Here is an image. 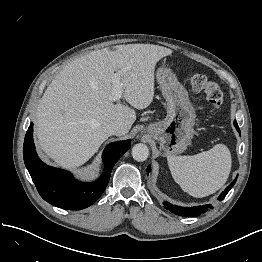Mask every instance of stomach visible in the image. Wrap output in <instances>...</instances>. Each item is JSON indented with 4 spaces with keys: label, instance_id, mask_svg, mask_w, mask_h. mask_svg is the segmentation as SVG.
Here are the masks:
<instances>
[{
    "label": "stomach",
    "instance_id": "1",
    "mask_svg": "<svg viewBox=\"0 0 262 262\" xmlns=\"http://www.w3.org/2000/svg\"><path fill=\"white\" fill-rule=\"evenodd\" d=\"M156 79L167 102V116L163 121L150 124L146 131L157 140L166 156L185 151L194 134L195 111L185 87L166 67H160Z\"/></svg>",
    "mask_w": 262,
    "mask_h": 262
}]
</instances>
